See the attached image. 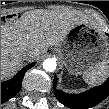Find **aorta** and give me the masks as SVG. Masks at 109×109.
<instances>
[{"mask_svg":"<svg viewBox=\"0 0 109 109\" xmlns=\"http://www.w3.org/2000/svg\"><path fill=\"white\" fill-rule=\"evenodd\" d=\"M56 61L52 58H48L45 59L43 62V68L47 71V72H53L56 69Z\"/></svg>","mask_w":109,"mask_h":109,"instance_id":"762f6f07","label":"aorta"}]
</instances>
